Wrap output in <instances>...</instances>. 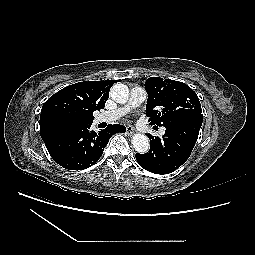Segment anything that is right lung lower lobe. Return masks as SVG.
I'll use <instances>...</instances> for the list:
<instances>
[{"mask_svg": "<svg viewBox=\"0 0 255 255\" xmlns=\"http://www.w3.org/2000/svg\"><path fill=\"white\" fill-rule=\"evenodd\" d=\"M92 124L55 129L43 139L53 160L68 170H83L96 163L110 137L125 132V126L109 125L102 131L91 130Z\"/></svg>", "mask_w": 255, "mask_h": 255, "instance_id": "right-lung-lower-lobe-1", "label": "right lung lower lobe"}]
</instances>
